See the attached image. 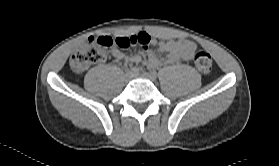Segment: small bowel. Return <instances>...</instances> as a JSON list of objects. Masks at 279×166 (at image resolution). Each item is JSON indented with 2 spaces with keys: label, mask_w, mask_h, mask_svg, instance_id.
I'll list each match as a JSON object with an SVG mask.
<instances>
[{
  "label": "small bowel",
  "mask_w": 279,
  "mask_h": 166,
  "mask_svg": "<svg viewBox=\"0 0 279 166\" xmlns=\"http://www.w3.org/2000/svg\"><path fill=\"white\" fill-rule=\"evenodd\" d=\"M139 36H145L148 40L146 44L142 45L146 50V57L140 53H134L133 55L127 57L121 50L115 48L112 51L113 58L118 62L125 60L133 64L145 61L149 68H158L163 62L157 57L153 50L148 49V46H157L159 52L166 53L168 63H175L180 60H190L193 51L196 48V44L190 40L179 39L157 41L156 39L151 38V36L146 32H140L129 37L138 38Z\"/></svg>",
  "instance_id": "small-bowel-1"
}]
</instances>
